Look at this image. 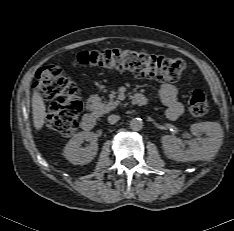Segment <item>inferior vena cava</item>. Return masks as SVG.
Masks as SVG:
<instances>
[{"instance_id":"inferior-vena-cava-1","label":"inferior vena cava","mask_w":234,"mask_h":231,"mask_svg":"<svg viewBox=\"0 0 234 231\" xmlns=\"http://www.w3.org/2000/svg\"><path fill=\"white\" fill-rule=\"evenodd\" d=\"M118 120H120L119 115L112 114V115L108 116V122L110 124H115Z\"/></svg>"}]
</instances>
